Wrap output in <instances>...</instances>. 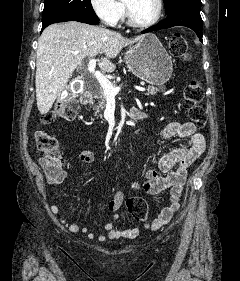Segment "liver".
I'll use <instances>...</instances> for the list:
<instances>
[{
	"mask_svg": "<svg viewBox=\"0 0 240 281\" xmlns=\"http://www.w3.org/2000/svg\"><path fill=\"white\" fill-rule=\"evenodd\" d=\"M145 36L129 39L120 33L76 21L48 26L38 40L36 58L35 87L40 114L52 108L72 73L86 58L102 53L104 57L98 61V66L103 72L111 73L115 69L111 59L122 48Z\"/></svg>",
	"mask_w": 240,
	"mask_h": 281,
	"instance_id": "1",
	"label": "liver"
}]
</instances>
